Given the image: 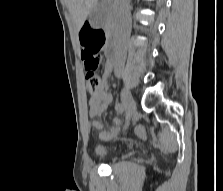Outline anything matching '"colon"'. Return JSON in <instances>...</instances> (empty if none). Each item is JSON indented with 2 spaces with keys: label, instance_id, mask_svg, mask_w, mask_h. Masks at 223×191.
<instances>
[{
  "label": "colon",
  "instance_id": "1",
  "mask_svg": "<svg viewBox=\"0 0 223 191\" xmlns=\"http://www.w3.org/2000/svg\"><path fill=\"white\" fill-rule=\"evenodd\" d=\"M80 41L82 44L81 58L87 71V89L89 92H95L101 80L97 74L101 59L99 52L105 43V35L98 29H84L80 33ZM137 133L144 137L143 129L138 127Z\"/></svg>",
  "mask_w": 223,
  "mask_h": 191
}]
</instances>
